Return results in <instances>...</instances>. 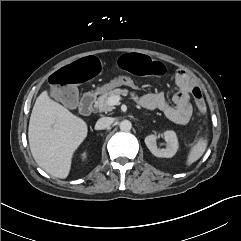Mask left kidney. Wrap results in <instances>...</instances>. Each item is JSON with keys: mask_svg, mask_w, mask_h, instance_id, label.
<instances>
[{"mask_svg": "<svg viewBox=\"0 0 241 241\" xmlns=\"http://www.w3.org/2000/svg\"><path fill=\"white\" fill-rule=\"evenodd\" d=\"M163 138L166 141L165 148L160 149L157 147V135L154 134L148 135L145 138V144L154 156L171 158L176 154L178 150V139L176 133L174 131H165L163 133Z\"/></svg>", "mask_w": 241, "mask_h": 241, "instance_id": "5707ae66", "label": "left kidney"}]
</instances>
